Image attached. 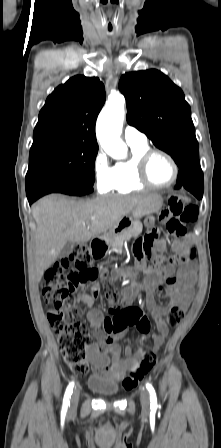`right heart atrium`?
<instances>
[{"mask_svg": "<svg viewBox=\"0 0 221 448\" xmlns=\"http://www.w3.org/2000/svg\"><path fill=\"white\" fill-rule=\"evenodd\" d=\"M95 185L99 192H108L112 189L115 177V167L111 165L108 156L99 151L93 161Z\"/></svg>", "mask_w": 221, "mask_h": 448, "instance_id": "1", "label": "right heart atrium"}]
</instances>
